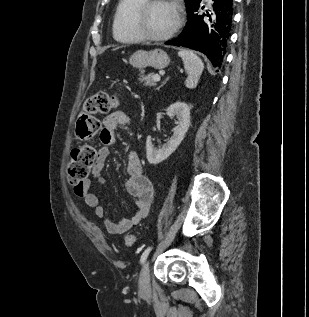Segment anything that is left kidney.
<instances>
[{"label":"left kidney","mask_w":309,"mask_h":317,"mask_svg":"<svg viewBox=\"0 0 309 317\" xmlns=\"http://www.w3.org/2000/svg\"><path fill=\"white\" fill-rule=\"evenodd\" d=\"M167 115L176 116L177 126L173 129V135L161 148L153 146L150 136L146 140V155L150 164L156 165L168 158L180 145L190 126V107L184 102H176L167 109Z\"/></svg>","instance_id":"1"}]
</instances>
